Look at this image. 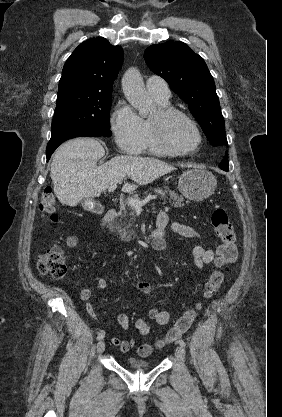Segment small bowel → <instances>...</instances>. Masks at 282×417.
Returning <instances> with one entry per match:
<instances>
[{"instance_id":"obj_1","label":"small bowel","mask_w":282,"mask_h":417,"mask_svg":"<svg viewBox=\"0 0 282 417\" xmlns=\"http://www.w3.org/2000/svg\"><path fill=\"white\" fill-rule=\"evenodd\" d=\"M170 226L171 231L183 238L187 239H200L201 233L194 227L186 225L180 222L169 223L168 214L164 211H161L157 215L156 219V228L153 232L158 231L161 235L160 240L154 242V248L163 241L165 243L166 229ZM77 239L75 237H69L67 240L68 246L72 247L76 244ZM193 260L197 268L201 269L206 264L218 262L216 253L209 248H205L202 245H197L193 249ZM108 286L107 279L100 277L95 281V284L92 287L84 288L80 292V297L82 300L86 301V311L88 315L96 320L97 315L94 309L93 304L90 302L91 297L96 291L104 290ZM132 288L136 291H140L145 295L146 302L149 306L150 319L157 325L167 326L172 320L173 316L168 311L158 310L155 306V300L158 297H163L157 292V290L148 282L145 281H136L132 284ZM181 318V317H180ZM118 323L124 330H128L131 326L128 316L124 313H121L117 317ZM134 326L137 332L141 336H147L150 333V321L144 318H139L134 322ZM111 343L114 346H117L122 352H128L133 349L136 345V341L133 338L123 339L118 336L111 338Z\"/></svg>"}]
</instances>
